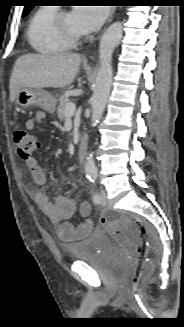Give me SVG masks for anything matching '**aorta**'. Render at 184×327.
<instances>
[{
  "instance_id": "762f6f07",
  "label": "aorta",
  "mask_w": 184,
  "mask_h": 327,
  "mask_svg": "<svg viewBox=\"0 0 184 327\" xmlns=\"http://www.w3.org/2000/svg\"><path fill=\"white\" fill-rule=\"evenodd\" d=\"M123 34L121 22L111 24L103 33L99 45L100 66L97 72L93 95L91 97L92 127H95L104 112L112 85V55ZM84 170L90 178L97 177V167L91 153L86 157Z\"/></svg>"
}]
</instances>
